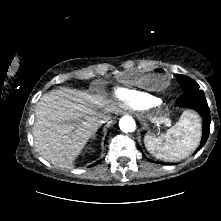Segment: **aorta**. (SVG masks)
Listing matches in <instances>:
<instances>
[{"instance_id": "762f6f07", "label": "aorta", "mask_w": 221, "mask_h": 221, "mask_svg": "<svg viewBox=\"0 0 221 221\" xmlns=\"http://www.w3.org/2000/svg\"><path fill=\"white\" fill-rule=\"evenodd\" d=\"M119 127L124 133L133 132L136 129L135 120L131 116H123L119 121Z\"/></svg>"}]
</instances>
